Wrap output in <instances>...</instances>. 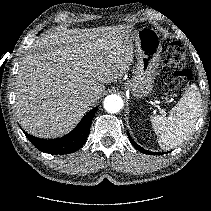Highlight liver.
Returning a JSON list of instances; mask_svg holds the SVG:
<instances>
[{
    "instance_id": "obj_1",
    "label": "liver",
    "mask_w": 211,
    "mask_h": 211,
    "mask_svg": "<svg viewBox=\"0 0 211 211\" xmlns=\"http://www.w3.org/2000/svg\"><path fill=\"white\" fill-rule=\"evenodd\" d=\"M130 26L51 30L20 61L15 107L22 128L39 138L69 133L97 100L104 84L127 73L133 62Z\"/></svg>"
}]
</instances>
